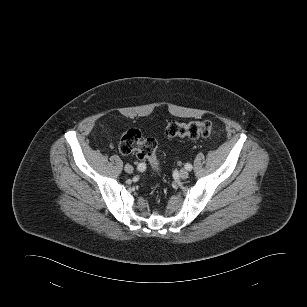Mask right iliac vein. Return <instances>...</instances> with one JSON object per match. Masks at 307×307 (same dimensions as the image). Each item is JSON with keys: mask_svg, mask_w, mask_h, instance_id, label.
<instances>
[{"mask_svg": "<svg viewBox=\"0 0 307 307\" xmlns=\"http://www.w3.org/2000/svg\"><path fill=\"white\" fill-rule=\"evenodd\" d=\"M124 170L129 174L133 173V171H134V169L131 165H125Z\"/></svg>", "mask_w": 307, "mask_h": 307, "instance_id": "obj_1", "label": "right iliac vein"}]
</instances>
